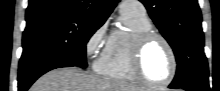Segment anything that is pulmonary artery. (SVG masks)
I'll list each match as a JSON object with an SVG mask.
<instances>
[{
	"mask_svg": "<svg viewBox=\"0 0 220 91\" xmlns=\"http://www.w3.org/2000/svg\"><path fill=\"white\" fill-rule=\"evenodd\" d=\"M121 14H135L146 16V9L140 1H123L120 7Z\"/></svg>",
	"mask_w": 220,
	"mask_h": 91,
	"instance_id": "obj_1",
	"label": "pulmonary artery"
}]
</instances>
